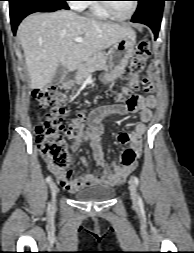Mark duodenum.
<instances>
[{
	"mask_svg": "<svg viewBox=\"0 0 194 253\" xmlns=\"http://www.w3.org/2000/svg\"><path fill=\"white\" fill-rule=\"evenodd\" d=\"M70 80H71V75L69 73H66V74L63 75V77H62V83L64 85H68L69 82H70Z\"/></svg>",
	"mask_w": 194,
	"mask_h": 253,
	"instance_id": "duodenum-1",
	"label": "duodenum"
}]
</instances>
